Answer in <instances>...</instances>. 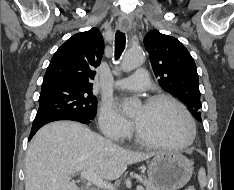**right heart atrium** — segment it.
Returning a JSON list of instances; mask_svg holds the SVG:
<instances>
[{
    "label": "right heart atrium",
    "instance_id": "right-heart-atrium-1",
    "mask_svg": "<svg viewBox=\"0 0 234 190\" xmlns=\"http://www.w3.org/2000/svg\"><path fill=\"white\" fill-rule=\"evenodd\" d=\"M98 123L102 133L115 141H122L132 130L131 122L124 118L107 100L103 101L101 105Z\"/></svg>",
    "mask_w": 234,
    "mask_h": 190
}]
</instances>
